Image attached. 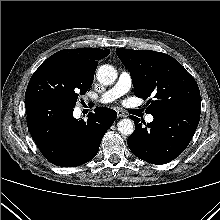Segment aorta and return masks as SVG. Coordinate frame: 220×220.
<instances>
[{
  "mask_svg": "<svg viewBox=\"0 0 220 220\" xmlns=\"http://www.w3.org/2000/svg\"><path fill=\"white\" fill-rule=\"evenodd\" d=\"M117 70L108 64L102 65L97 71V80L103 85H111L117 79ZM118 131L123 135H131L134 132V123L130 119H122L117 124Z\"/></svg>",
  "mask_w": 220,
  "mask_h": 220,
  "instance_id": "aorta-1",
  "label": "aorta"
}]
</instances>
